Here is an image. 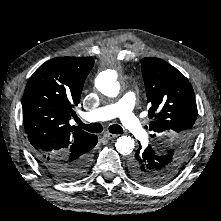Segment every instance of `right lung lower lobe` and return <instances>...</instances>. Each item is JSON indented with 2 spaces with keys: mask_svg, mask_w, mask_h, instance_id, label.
Segmentation results:
<instances>
[{
  "mask_svg": "<svg viewBox=\"0 0 221 221\" xmlns=\"http://www.w3.org/2000/svg\"><path fill=\"white\" fill-rule=\"evenodd\" d=\"M97 136L85 153H70L66 160L42 157L35 155L41 166L52 176L60 180H76L85 175L91 166V153L89 152L97 144Z\"/></svg>",
  "mask_w": 221,
  "mask_h": 221,
  "instance_id": "1",
  "label": "right lung lower lobe"
}]
</instances>
